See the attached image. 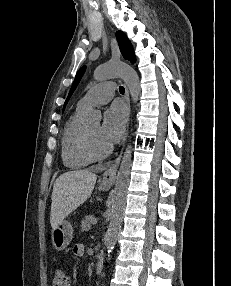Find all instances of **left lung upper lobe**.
<instances>
[{"label":"left lung upper lobe","mask_w":231,"mask_h":286,"mask_svg":"<svg viewBox=\"0 0 231 286\" xmlns=\"http://www.w3.org/2000/svg\"><path fill=\"white\" fill-rule=\"evenodd\" d=\"M116 37H117V40H118V43H119V47H120V50H121V53H122L123 57L125 59L130 60L131 62H135V56H134V53H133V48H132V45H131L130 41L128 40L127 36L123 32L118 31L116 33ZM85 68L86 67L83 66L77 72L75 80H74V83H73V85L71 87V90L69 92L68 98L66 99V102L64 104V108H65V105L68 102L69 96L73 93V91L75 90L76 86L78 85V83H79L83 73L85 72Z\"/></svg>","instance_id":"obj_1"}]
</instances>
